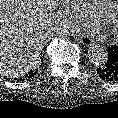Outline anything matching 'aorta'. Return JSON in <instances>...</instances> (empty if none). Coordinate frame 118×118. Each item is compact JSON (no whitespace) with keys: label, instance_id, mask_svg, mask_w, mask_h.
Listing matches in <instances>:
<instances>
[{"label":"aorta","instance_id":"1","mask_svg":"<svg viewBox=\"0 0 118 118\" xmlns=\"http://www.w3.org/2000/svg\"><path fill=\"white\" fill-rule=\"evenodd\" d=\"M88 57L93 64L101 65L107 59V51L100 45H92L88 50Z\"/></svg>","mask_w":118,"mask_h":118}]
</instances>
